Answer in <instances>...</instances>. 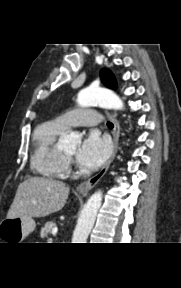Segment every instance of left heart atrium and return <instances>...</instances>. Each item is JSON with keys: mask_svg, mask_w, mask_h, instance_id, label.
<instances>
[{"mask_svg": "<svg viewBox=\"0 0 181 288\" xmlns=\"http://www.w3.org/2000/svg\"><path fill=\"white\" fill-rule=\"evenodd\" d=\"M111 145L109 140L97 131H91L83 140L77 152V161L84 167H99L109 156Z\"/></svg>", "mask_w": 181, "mask_h": 288, "instance_id": "39dd6f15", "label": "left heart atrium"}]
</instances>
